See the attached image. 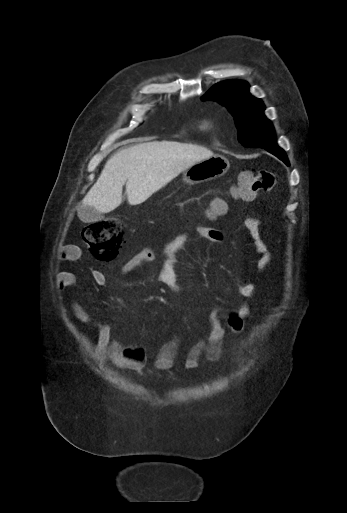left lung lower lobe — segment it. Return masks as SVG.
I'll use <instances>...</instances> for the list:
<instances>
[{
  "label": "left lung lower lobe",
  "instance_id": "left-lung-lower-lobe-1",
  "mask_svg": "<svg viewBox=\"0 0 347 513\" xmlns=\"http://www.w3.org/2000/svg\"><path fill=\"white\" fill-rule=\"evenodd\" d=\"M268 152L274 154L275 156H277L279 159H281L287 166H289V161L286 157V154L284 153V151L279 148V147H276V148H273V149H267L265 148Z\"/></svg>",
  "mask_w": 347,
  "mask_h": 513
}]
</instances>
